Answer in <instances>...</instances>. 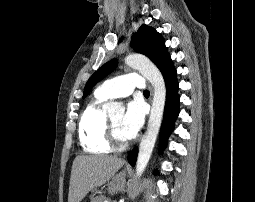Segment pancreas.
I'll return each mask as SVG.
<instances>
[{
  "label": "pancreas",
  "mask_w": 255,
  "mask_h": 202,
  "mask_svg": "<svg viewBox=\"0 0 255 202\" xmlns=\"http://www.w3.org/2000/svg\"><path fill=\"white\" fill-rule=\"evenodd\" d=\"M91 202H104V196H97V197L93 198ZM105 202H110V201H105ZM113 202H115V201H113Z\"/></svg>",
  "instance_id": "obj_1"
}]
</instances>
